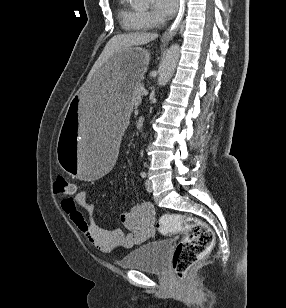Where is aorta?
<instances>
[{"label":"aorta","instance_id":"1","mask_svg":"<svg viewBox=\"0 0 286 308\" xmlns=\"http://www.w3.org/2000/svg\"><path fill=\"white\" fill-rule=\"evenodd\" d=\"M136 3H147L149 0H134ZM180 57V46L178 44H173L169 49L166 50L162 57L160 68L158 85L164 86L168 83L172 77L175 68L177 66Z\"/></svg>","mask_w":286,"mask_h":308}]
</instances>
